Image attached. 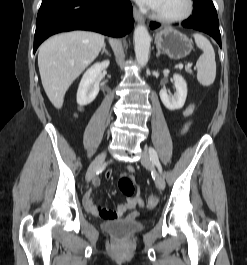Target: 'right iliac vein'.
Masks as SVG:
<instances>
[{
    "label": "right iliac vein",
    "mask_w": 247,
    "mask_h": 265,
    "mask_svg": "<svg viewBox=\"0 0 247 265\" xmlns=\"http://www.w3.org/2000/svg\"><path fill=\"white\" fill-rule=\"evenodd\" d=\"M106 151L100 153L90 164L88 171H87V175H86V180L87 182H90L93 177L96 175L97 171L100 169V167L102 166L105 158H106Z\"/></svg>",
    "instance_id": "right-iliac-vein-1"
}]
</instances>
